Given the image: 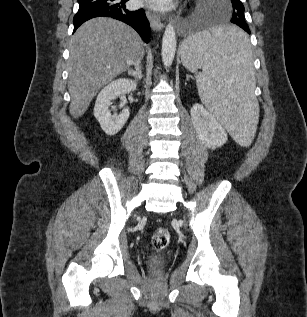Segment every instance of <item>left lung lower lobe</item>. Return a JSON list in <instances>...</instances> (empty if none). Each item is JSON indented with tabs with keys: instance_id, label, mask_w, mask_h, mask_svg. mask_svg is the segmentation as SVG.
Segmentation results:
<instances>
[{
	"instance_id": "left-lung-lower-lobe-1",
	"label": "left lung lower lobe",
	"mask_w": 307,
	"mask_h": 317,
	"mask_svg": "<svg viewBox=\"0 0 307 317\" xmlns=\"http://www.w3.org/2000/svg\"><path fill=\"white\" fill-rule=\"evenodd\" d=\"M231 22L241 27L246 33L250 34V29L248 25L241 24L238 18L237 20L232 19ZM245 32H242L240 35H237V36H227L224 40V44L232 50H235V51L240 50L248 42L247 34Z\"/></svg>"
}]
</instances>
